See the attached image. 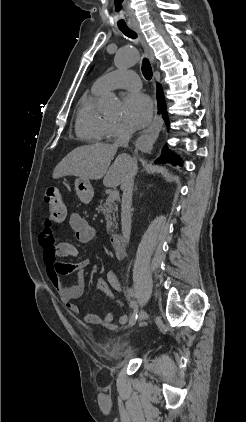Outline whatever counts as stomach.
<instances>
[{
  "label": "stomach",
  "mask_w": 246,
  "mask_h": 422,
  "mask_svg": "<svg viewBox=\"0 0 246 422\" xmlns=\"http://www.w3.org/2000/svg\"><path fill=\"white\" fill-rule=\"evenodd\" d=\"M75 190L80 201L85 204L89 203L94 196V190L92 188V185L87 179H83L80 177L76 178Z\"/></svg>",
  "instance_id": "obj_1"
}]
</instances>
